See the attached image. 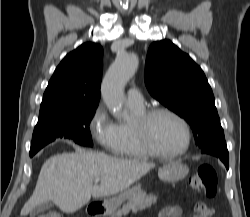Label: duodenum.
Segmentation results:
<instances>
[{"mask_svg":"<svg viewBox=\"0 0 250 217\" xmlns=\"http://www.w3.org/2000/svg\"><path fill=\"white\" fill-rule=\"evenodd\" d=\"M88 214L92 217H98L103 214V207L97 203H91L87 208Z\"/></svg>","mask_w":250,"mask_h":217,"instance_id":"1","label":"duodenum"}]
</instances>
